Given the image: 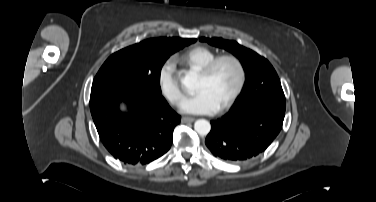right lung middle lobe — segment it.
Segmentation results:
<instances>
[{"label": "right lung middle lobe", "mask_w": 376, "mask_h": 202, "mask_svg": "<svg viewBox=\"0 0 376 202\" xmlns=\"http://www.w3.org/2000/svg\"><path fill=\"white\" fill-rule=\"evenodd\" d=\"M196 39L153 38L112 54L94 78L92 89L141 87L161 94L160 72L165 61Z\"/></svg>", "instance_id": "1"}]
</instances>
